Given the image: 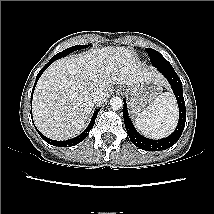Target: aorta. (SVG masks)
I'll list each match as a JSON object with an SVG mask.
<instances>
[{"mask_svg": "<svg viewBox=\"0 0 214 214\" xmlns=\"http://www.w3.org/2000/svg\"><path fill=\"white\" fill-rule=\"evenodd\" d=\"M110 106L113 110H119L123 107V100L118 96H114L110 100Z\"/></svg>", "mask_w": 214, "mask_h": 214, "instance_id": "obj_1", "label": "aorta"}]
</instances>
